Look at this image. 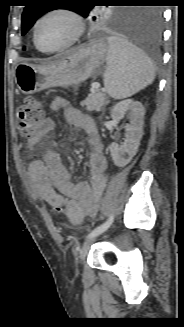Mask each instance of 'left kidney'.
I'll use <instances>...</instances> for the list:
<instances>
[{
	"label": "left kidney",
	"mask_w": 184,
	"mask_h": 327,
	"mask_svg": "<svg viewBox=\"0 0 184 327\" xmlns=\"http://www.w3.org/2000/svg\"><path fill=\"white\" fill-rule=\"evenodd\" d=\"M130 114V124L125 127V139L121 146L111 143L110 153L114 164L124 167L136 155L143 136V118L145 110L138 101L127 99L117 103L111 110V117L120 120L126 112Z\"/></svg>",
	"instance_id": "1"
}]
</instances>
